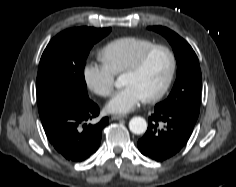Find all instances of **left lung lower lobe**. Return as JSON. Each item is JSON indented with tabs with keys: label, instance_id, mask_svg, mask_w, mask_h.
Returning a JSON list of instances; mask_svg holds the SVG:
<instances>
[{
	"label": "left lung lower lobe",
	"instance_id": "0a47b994",
	"mask_svg": "<svg viewBox=\"0 0 236 187\" xmlns=\"http://www.w3.org/2000/svg\"><path fill=\"white\" fill-rule=\"evenodd\" d=\"M198 116L186 111L155 106L148 129L138 141L140 152L156 161L175 155L188 141Z\"/></svg>",
	"mask_w": 236,
	"mask_h": 187
}]
</instances>
